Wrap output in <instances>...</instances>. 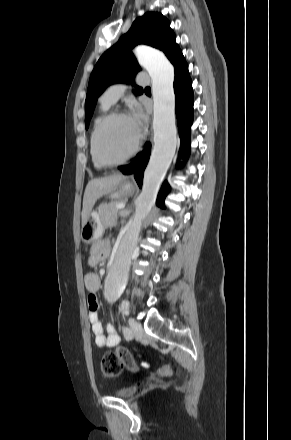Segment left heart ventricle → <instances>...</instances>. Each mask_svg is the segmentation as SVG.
<instances>
[{
  "label": "left heart ventricle",
  "mask_w": 291,
  "mask_h": 440,
  "mask_svg": "<svg viewBox=\"0 0 291 440\" xmlns=\"http://www.w3.org/2000/svg\"><path fill=\"white\" fill-rule=\"evenodd\" d=\"M137 137L129 118L114 119L101 133L100 151L107 159H122L134 147Z\"/></svg>",
  "instance_id": "b2bd125f"
}]
</instances>
